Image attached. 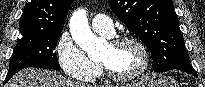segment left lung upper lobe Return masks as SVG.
<instances>
[{
    "label": "left lung upper lobe",
    "mask_w": 205,
    "mask_h": 87,
    "mask_svg": "<svg viewBox=\"0 0 205 87\" xmlns=\"http://www.w3.org/2000/svg\"><path fill=\"white\" fill-rule=\"evenodd\" d=\"M111 10L150 50L153 70L190 66L171 0H108Z\"/></svg>",
    "instance_id": "5c2ea615"
}]
</instances>
